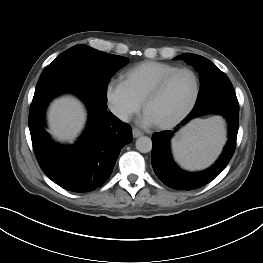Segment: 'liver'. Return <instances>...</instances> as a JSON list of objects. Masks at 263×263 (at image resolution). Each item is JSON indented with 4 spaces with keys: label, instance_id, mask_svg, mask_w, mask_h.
Masks as SVG:
<instances>
[{
    "label": "liver",
    "instance_id": "6515ba94",
    "mask_svg": "<svg viewBox=\"0 0 263 263\" xmlns=\"http://www.w3.org/2000/svg\"><path fill=\"white\" fill-rule=\"evenodd\" d=\"M51 134L60 141H73L83 129L86 112L81 102L72 97L55 100L48 112Z\"/></svg>",
    "mask_w": 263,
    "mask_h": 263
}]
</instances>
